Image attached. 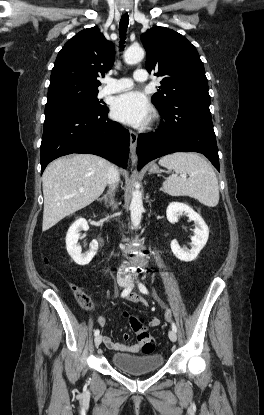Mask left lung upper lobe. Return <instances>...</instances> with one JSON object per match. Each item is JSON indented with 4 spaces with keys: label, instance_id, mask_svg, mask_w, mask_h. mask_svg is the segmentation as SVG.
Masks as SVG:
<instances>
[{
    "label": "left lung upper lobe",
    "instance_id": "left-lung-upper-lobe-1",
    "mask_svg": "<svg viewBox=\"0 0 264 415\" xmlns=\"http://www.w3.org/2000/svg\"><path fill=\"white\" fill-rule=\"evenodd\" d=\"M141 40L146 50V69L163 78L151 98L157 109L186 97L210 99L203 62L186 38L171 29L154 27L142 34Z\"/></svg>",
    "mask_w": 264,
    "mask_h": 415
}]
</instances>
